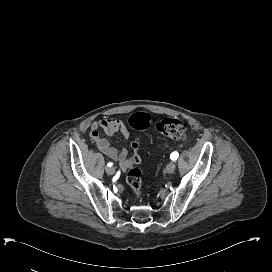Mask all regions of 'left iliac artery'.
Segmentation results:
<instances>
[{"label":"left iliac artery","mask_w":272,"mask_h":272,"mask_svg":"<svg viewBox=\"0 0 272 272\" xmlns=\"http://www.w3.org/2000/svg\"><path fill=\"white\" fill-rule=\"evenodd\" d=\"M179 157V154H178V152H173V153H171V155H170V158H171V160H176L177 158Z\"/></svg>","instance_id":"44dca946"}]
</instances>
